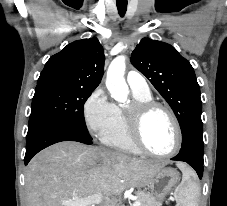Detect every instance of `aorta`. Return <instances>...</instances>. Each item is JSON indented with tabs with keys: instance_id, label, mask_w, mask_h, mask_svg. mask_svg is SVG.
<instances>
[{
	"instance_id": "obj_1",
	"label": "aorta",
	"mask_w": 227,
	"mask_h": 206,
	"mask_svg": "<svg viewBox=\"0 0 227 206\" xmlns=\"http://www.w3.org/2000/svg\"><path fill=\"white\" fill-rule=\"evenodd\" d=\"M125 68L126 58L118 56L111 62L107 71L106 87L111 97L120 103L126 102L129 94V88L124 78Z\"/></svg>"
}]
</instances>
